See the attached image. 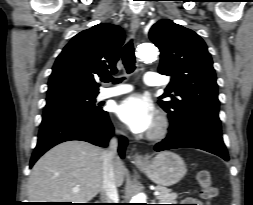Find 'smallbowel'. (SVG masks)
<instances>
[{
    "mask_svg": "<svg viewBox=\"0 0 253 205\" xmlns=\"http://www.w3.org/2000/svg\"><path fill=\"white\" fill-rule=\"evenodd\" d=\"M186 201L196 203V204H189V205H202L200 202H197L194 199H187Z\"/></svg>",
    "mask_w": 253,
    "mask_h": 205,
    "instance_id": "1",
    "label": "small bowel"
}]
</instances>
